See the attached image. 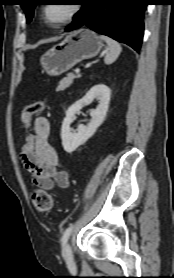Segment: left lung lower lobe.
<instances>
[{
	"label": "left lung lower lobe",
	"instance_id": "left-lung-lower-lobe-1",
	"mask_svg": "<svg viewBox=\"0 0 174 278\" xmlns=\"http://www.w3.org/2000/svg\"><path fill=\"white\" fill-rule=\"evenodd\" d=\"M146 6L147 0H85L66 31L87 26L138 52L142 44Z\"/></svg>",
	"mask_w": 174,
	"mask_h": 278
}]
</instances>
